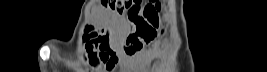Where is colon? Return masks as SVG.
Listing matches in <instances>:
<instances>
[{"label": "colon", "mask_w": 267, "mask_h": 72, "mask_svg": "<svg viewBox=\"0 0 267 72\" xmlns=\"http://www.w3.org/2000/svg\"><path fill=\"white\" fill-rule=\"evenodd\" d=\"M104 3L110 6L113 10L128 14L129 23L132 33L129 35L123 45L128 54H133L140 50L144 43L151 41L157 34V28L160 22V6L157 4H147L144 7L138 5L135 0H106ZM88 38L84 39V44ZM111 49L106 40H101L98 47L94 49L87 48L85 51L89 59H85L89 65L97 66L103 63L104 51ZM91 57L100 60L99 63L92 61Z\"/></svg>", "instance_id": "obj_1"}]
</instances>
